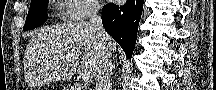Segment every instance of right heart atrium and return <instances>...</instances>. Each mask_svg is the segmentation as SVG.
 Returning <instances> with one entry per match:
<instances>
[{
  "mask_svg": "<svg viewBox=\"0 0 216 90\" xmlns=\"http://www.w3.org/2000/svg\"><path fill=\"white\" fill-rule=\"evenodd\" d=\"M64 6H72L63 17L67 20H84L95 12L98 2L95 0H62Z\"/></svg>",
  "mask_w": 216,
  "mask_h": 90,
  "instance_id": "obj_1",
  "label": "right heart atrium"
}]
</instances>
